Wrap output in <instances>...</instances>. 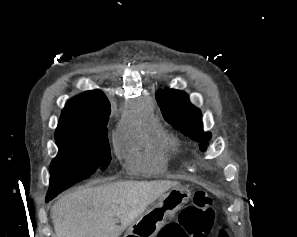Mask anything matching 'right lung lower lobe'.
I'll list each match as a JSON object with an SVG mask.
<instances>
[{
  "instance_id": "right-lung-lower-lobe-1",
  "label": "right lung lower lobe",
  "mask_w": 297,
  "mask_h": 237,
  "mask_svg": "<svg viewBox=\"0 0 297 237\" xmlns=\"http://www.w3.org/2000/svg\"><path fill=\"white\" fill-rule=\"evenodd\" d=\"M51 199H53V198L46 197V202H49Z\"/></svg>"
}]
</instances>
